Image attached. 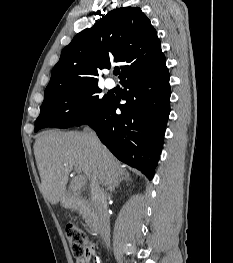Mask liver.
Masks as SVG:
<instances>
[{
  "mask_svg": "<svg viewBox=\"0 0 233 263\" xmlns=\"http://www.w3.org/2000/svg\"><path fill=\"white\" fill-rule=\"evenodd\" d=\"M34 154L42 194L52 205L65 196L73 168L83 172L91 183L109 187L128 174L103 144L95 143L90 133L43 132L35 141Z\"/></svg>",
  "mask_w": 233,
  "mask_h": 263,
  "instance_id": "1",
  "label": "liver"
}]
</instances>
